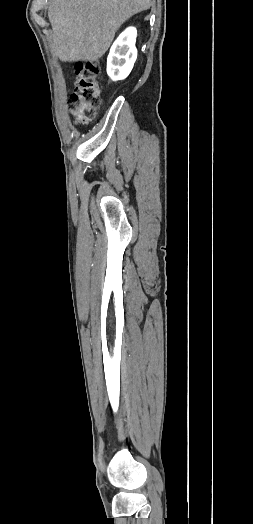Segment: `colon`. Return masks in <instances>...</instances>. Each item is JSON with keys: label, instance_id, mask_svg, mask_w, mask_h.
<instances>
[{"label": "colon", "instance_id": "obj_1", "mask_svg": "<svg viewBox=\"0 0 253 524\" xmlns=\"http://www.w3.org/2000/svg\"><path fill=\"white\" fill-rule=\"evenodd\" d=\"M98 61L78 62L75 68V87L70 97L69 109L79 124H88L100 105Z\"/></svg>", "mask_w": 253, "mask_h": 524}]
</instances>
